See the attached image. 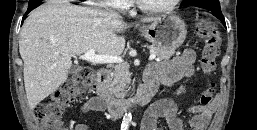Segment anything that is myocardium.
<instances>
[{"mask_svg": "<svg viewBox=\"0 0 257 130\" xmlns=\"http://www.w3.org/2000/svg\"><path fill=\"white\" fill-rule=\"evenodd\" d=\"M181 0H172L170 3H168L165 6L157 7V8H151L145 6L141 0H135L136 6L143 12L148 14H162L167 13L171 10H173L180 2Z\"/></svg>", "mask_w": 257, "mask_h": 130, "instance_id": "1", "label": "myocardium"}]
</instances>
